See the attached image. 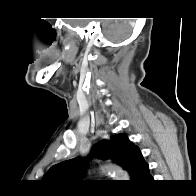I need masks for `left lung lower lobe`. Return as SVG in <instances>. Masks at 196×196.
<instances>
[{
  "mask_svg": "<svg viewBox=\"0 0 196 196\" xmlns=\"http://www.w3.org/2000/svg\"><path fill=\"white\" fill-rule=\"evenodd\" d=\"M152 180L151 175L149 174V165L144 161L141 162L134 177V181L143 182Z\"/></svg>",
  "mask_w": 196,
  "mask_h": 196,
  "instance_id": "0a47b994",
  "label": "left lung lower lobe"
}]
</instances>
